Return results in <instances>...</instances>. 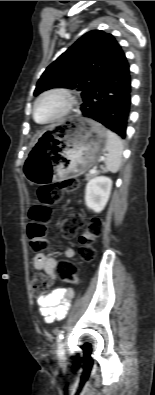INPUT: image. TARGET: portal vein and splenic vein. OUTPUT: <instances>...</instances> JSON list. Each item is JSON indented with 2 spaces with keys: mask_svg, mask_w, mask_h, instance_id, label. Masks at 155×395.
<instances>
[{
  "mask_svg": "<svg viewBox=\"0 0 155 395\" xmlns=\"http://www.w3.org/2000/svg\"><path fill=\"white\" fill-rule=\"evenodd\" d=\"M102 160H103V158L100 159V161H102ZM90 173H91V174L96 173V167H94L93 169H91V170H90Z\"/></svg>",
  "mask_w": 155,
  "mask_h": 395,
  "instance_id": "1",
  "label": "portal vein and splenic vein"
}]
</instances>
